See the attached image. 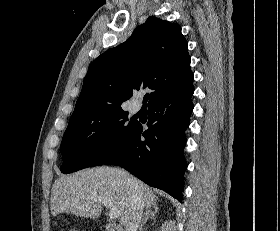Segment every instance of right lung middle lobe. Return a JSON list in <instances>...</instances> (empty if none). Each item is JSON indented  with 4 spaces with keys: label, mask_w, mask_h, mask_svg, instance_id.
Returning <instances> with one entry per match:
<instances>
[{
    "label": "right lung middle lobe",
    "mask_w": 280,
    "mask_h": 231,
    "mask_svg": "<svg viewBox=\"0 0 280 231\" xmlns=\"http://www.w3.org/2000/svg\"><path fill=\"white\" fill-rule=\"evenodd\" d=\"M128 121V112L87 120L69 121L61 143V172L103 165L116 154L121 141L136 124Z\"/></svg>",
    "instance_id": "1"
}]
</instances>
